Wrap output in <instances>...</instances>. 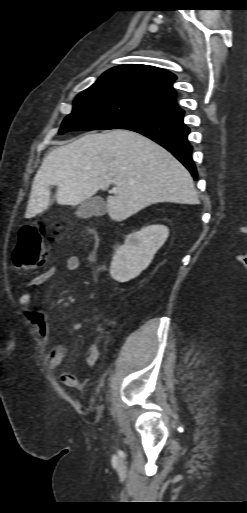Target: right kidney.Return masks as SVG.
<instances>
[{"instance_id":"ca27d5eb","label":"right kidney","mask_w":247,"mask_h":513,"mask_svg":"<svg viewBox=\"0 0 247 513\" xmlns=\"http://www.w3.org/2000/svg\"><path fill=\"white\" fill-rule=\"evenodd\" d=\"M169 235L163 225H150L127 236L111 262L110 274L118 282H127L137 277L151 263L155 253Z\"/></svg>"}]
</instances>
